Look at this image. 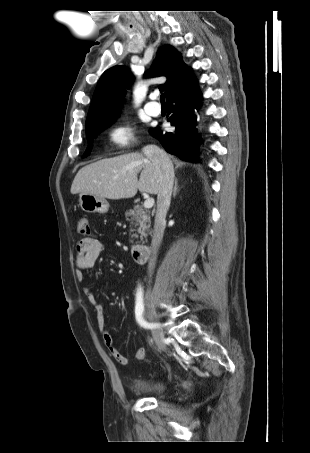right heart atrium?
Segmentation results:
<instances>
[{
  "label": "right heart atrium",
  "instance_id": "d8ad5b80",
  "mask_svg": "<svg viewBox=\"0 0 310 453\" xmlns=\"http://www.w3.org/2000/svg\"><path fill=\"white\" fill-rule=\"evenodd\" d=\"M109 142L117 149H125L134 142L133 129L126 123H121L110 129Z\"/></svg>",
  "mask_w": 310,
  "mask_h": 453
}]
</instances>
